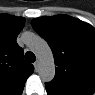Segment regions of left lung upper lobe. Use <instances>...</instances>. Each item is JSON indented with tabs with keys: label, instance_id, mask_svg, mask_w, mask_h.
Returning <instances> with one entry per match:
<instances>
[{
	"label": "left lung upper lobe",
	"instance_id": "left-lung-upper-lobe-1",
	"mask_svg": "<svg viewBox=\"0 0 95 95\" xmlns=\"http://www.w3.org/2000/svg\"><path fill=\"white\" fill-rule=\"evenodd\" d=\"M53 51L54 88L77 87L95 91V29L70 16L40 17L31 22Z\"/></svg>",
	"mask_w": 95,
	"mask_h": 95
}]
</instances>
